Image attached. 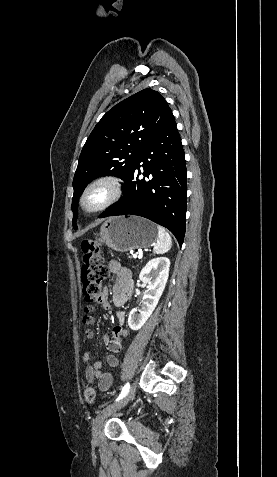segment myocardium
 <instances>
[{"label":"myocardium","mask_w":277,"mask_h":477,"mask_svg":"<svg viewBox=\"0 0 277 477\" xmlns=\"http://www.w3.org/2000/svg\"><path fill=\"white\" fill-rule=\"evenodd\" d=\"M97 190H104V197L97 204L90 205L89 199ZM122 193L123 185L118 177L112 175L99 176L90 181L82 191L79 198L80 209L86 214L100 213L119 201Z\"/></svg>","instance_id":"1"}]
</instances>
